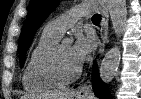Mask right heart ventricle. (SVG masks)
<instances>
[{"label": "right heart ventricle", "mask_w": 141, "mask_h": 99, "mask_svg": "<svg viewBox=\"0 0 141 99\" xmlns=\"http://www.w3.org/2000/svg\"><path fill=\"white\" fill-rule=\"evenodd\" d=\"M58 42V38L43 31L34 46L23 72L24 88L33 93L51 90L59 84L46 78L41 72V64L45 54Z\"/></svg>", "instance_id": "obj_1"}]
</instances>
